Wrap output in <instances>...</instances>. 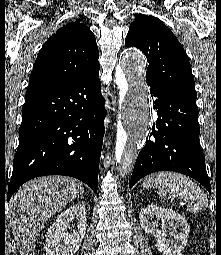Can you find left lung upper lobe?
<instances>
[{
    "instance_id": "5c2ea615",
    "label": "left lung upper lobe",
    "mask_w": 221,
    "mask_h": 255,
    "mask_svg": "<svg viewBox=\"0 0 221 255\" xmlns=\"http://www.w3.org/2000/svg\"><path fill=\"white\" fill-rule=\"evenodd\" d=\"M126 47L140 49L147 58V85L162 87L196 101L191 66L176 36L154 16L139 14L130 24Z\"/></svg>"
}]
</instances>
